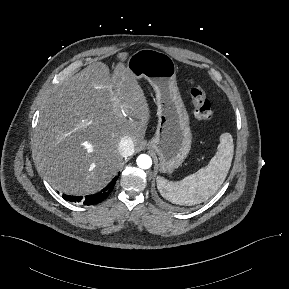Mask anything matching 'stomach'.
Listing matches in <instances>:
<instances>
[{
    "mask_svg": "<svg viewBox=\"0 0 289 289\" xmlns=\"http://www.w3.org/2000/svg\"><path fill=\"white\" fill-rule=\"evenodd\" d=\"M126 67L137 78H145L154 88L158 125L148 148L159 156V170L170 173L181 166L191 149L189 116L181 98L177 66L172 57L153 49L132 54Z\"/></svg>",
    "mask_w": 289,
    "mask_h": 289,
    "instance_id": "1",
    "label": "stomach"
}]
</instances>
